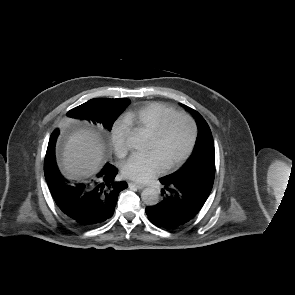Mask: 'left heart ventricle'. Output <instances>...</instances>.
Masks as SVG:
<instances>
[{"instance_id":"obj_1","label":"left heart ventricle","mask_w":295,"mask_h":295,"mask_svg":"<svg viewBox=\"0 0 295 295\" xmlns=\"http://www.w3.org/2000/svg\"><path fill=\"white\" fill-rule=\"evenodd\" d=\"M190 138V123L184 118H177L169 124L159 140L150 138L148 151L156 152L163 164L167 166L186 151Z\"/></svg>"}]
</instances>
